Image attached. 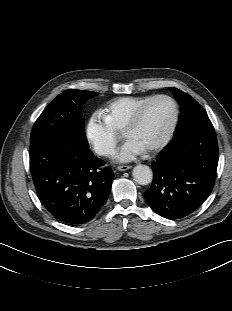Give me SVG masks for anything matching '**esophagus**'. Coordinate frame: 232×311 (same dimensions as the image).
<instances>
[{"label":"esophagus","mask_w":232,"mask_h":311,"mask_svg":"<svg viewBox=\"0 0 232 311\" xmlns=\"http://www.w3.org/2000/svg\"><path fill=\"white\" fill-rule=\"evenodd\" d=\"M131 168H132V166L123 165V166H118V167H117V170H118V171H126V170H129V169H131Z\"/></svg>","instance_id":"obj_1"}]
</instances>
